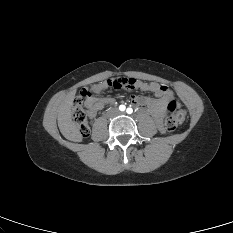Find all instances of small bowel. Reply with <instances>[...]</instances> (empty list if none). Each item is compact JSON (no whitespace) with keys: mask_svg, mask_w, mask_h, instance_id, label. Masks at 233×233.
<instances>
[{"mask_svg":"<svg viewBox=\"0 0 233 233\" xmlns=\"http://www.w3.org/2000/svg\"><path fill=\"white\" fill-rule=\"evenodd\" d=\"M104 88H107L105 82L94 85L92 90L95 94H99ZM134 88H137L141 91H150L154 93L155 97L132 95L131 104L136 109L149 113L155 120L158 128L161 130L163 118L168 111V104L170 101H175L172 91L166 85L157 82L147 83L139 80H136ZM114 102L115 100L110 97H93L88 109L89 117H95L100 110L106 106L113 105Z\"/></svg>","mask_w":233,"mask_h":233,"instance_id":"1","label":"small bowel"}]
</instances>
